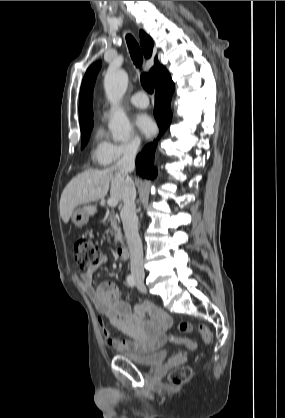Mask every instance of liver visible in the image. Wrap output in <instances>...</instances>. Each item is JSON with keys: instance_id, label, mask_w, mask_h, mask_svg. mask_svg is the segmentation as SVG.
Here are the masks:
<instances>
[{"instance_id": "obj_1", "label": "liver", "mask_w": 285, "mask_h": 418, "mask_svg": "<svg viewBox=\"0 0 285 418\" xmlns=\"http://www.w3.org/2000/svg\"><path fill=\"white\" fill-rule=\"evenodd\" d=\"M124 177L114 166L103 170H86L74 177L65 187L60 198V216L68 223L74 209L82 204L103 199L109 190L110 198L120 201Z\"/></svg>"}]
</instances>
